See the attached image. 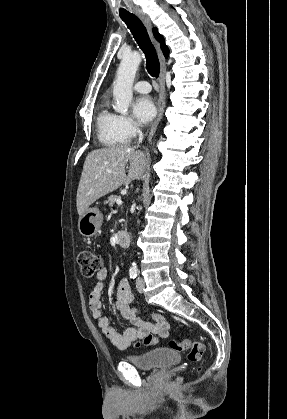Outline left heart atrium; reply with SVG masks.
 <instances>
[{
    "mask_svg": "<svg viewBox=\"0 0 287 419\" xmlns=\"http://www.w3.org/2000/svg\"><path fill=\"white\" fill-rule=\"evenodd\" d=\"M133 114L140 123H147L155 116L156 108L149 96H141L132 106Z\"/></svg>",
    "mask_w": 287,
    "mask_h": 419,
    "instance_id": "left-heart-atrium-1",
    "label": "left heart atrium"
}]
</instances>
